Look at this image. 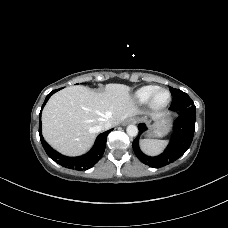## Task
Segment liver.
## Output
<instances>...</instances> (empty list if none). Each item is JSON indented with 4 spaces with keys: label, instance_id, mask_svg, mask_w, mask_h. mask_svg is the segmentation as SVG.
<instances>
[{
    "label": "liver",
    "instance_id": "obj_1",
    "mask_svg": "<svg viewBox=\"0 0 228 228\" xmlns=\"http://www.w3.org/2000/svg\"><path fill=\"white\" fill-rule=\"evenodd\" d=\"M124 84H107L103 92L81 85L69 86L54 94L42 112L45 140L59 152L77 156L88 151L100 132L97 126L109 121L113 126L140 113ZM155 118L162 114H153Z\"/></svg>",
    "mask_w": 228,
    "mask_h": 228
}]
</instances>
